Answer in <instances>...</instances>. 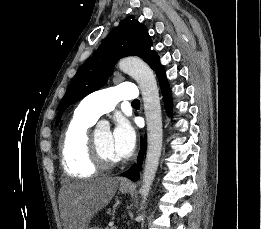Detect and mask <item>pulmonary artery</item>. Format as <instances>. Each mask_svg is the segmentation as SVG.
<instances>
[{
  "mask_svg": "<svg viewBox=\"0 0 261 229\" xmlns=\"http://www.w3.org/2000/svg\"><path fill=\"white\" fill-rule=\"evenodd\" d=\"M133 84H122L96 91L79 103L85 116L96 121L100 116L112 111L120 100L133 99L137 96Z\"/></svg>",
  "mask_w": 261,
  "mask_h": 229,
  "instance_id": "pulmonary-artery-1",
  "label": "pulmonary artery"
}]
</instances>
